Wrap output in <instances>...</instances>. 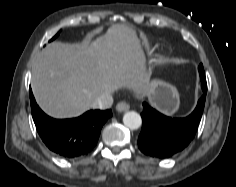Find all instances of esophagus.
<instances>
[{"instance_id": "obj_1", "label": "esophagus", "mask_w": 236, "mask_h": 187, "mask_svg": "<svg viewBox=\"0 0 236 187\" xmlns=\"http://www.w3.org/2000/svg\"><path fill=\"white\" fill-rule=\"evenodd\" d=\"M129 108H130L129 104L126 102H123V101L117 103V105H116V110L118 112H125V111L129 110Z\"/></svg>"}]
</instances>
